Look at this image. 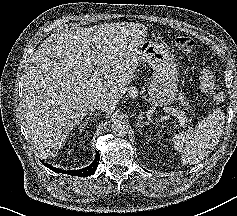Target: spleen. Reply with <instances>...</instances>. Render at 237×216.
<instances>
[{"label":"spleen","instance_id":"obj_1","mask_svg":"<svg viewBox=\"0 0 237 216\" xmlns=\"http://www.w3.org/2000/svg\"><path fill=\"white\" fill-rule=\"evenodd\" d=\"M219 140L215 125L210 126L204 119L185 131L175 133L171 137L172 147L178 154H184L191 160H200L202 156L213 148Z\"/></svg>","mask_w":237,"mask_h":216}]
</instances>
